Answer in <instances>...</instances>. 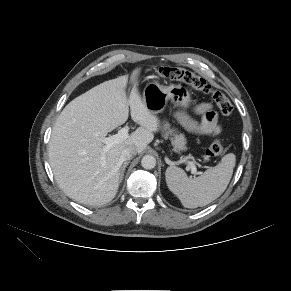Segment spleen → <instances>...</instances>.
<instances>
[{
	"instance_id": "3e777b00",
	"label": "spleen",
	"mask_w": 291,
	"mask_h": 291,
	"mask_svg": "<svg viewBox=\"0 0 291 291\" xmlns=\"http://www.w3.org/2000/svg\"><path fill=\"white\" fill-rule=\"evenodd\" d=\"M235 163V155L229 153L215 167L192 179L188 178L183 169L170 166L165 173L166 183L184 207H202L223 194L232 177Z\"/></svg>"
}]
</instances>
